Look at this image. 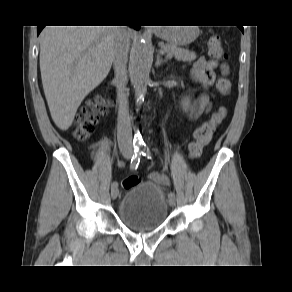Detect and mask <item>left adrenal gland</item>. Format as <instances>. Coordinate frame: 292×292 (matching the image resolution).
Wrapping results in <instances>:
<instances>
[{
    "instance_id": "1",
    "label": "left adrenal gland",
    "mask_w": 292,
    "mask_h": 292,
    "mask_svg": "<svg viewBox=\"0 0 292 292\" xmlns=\"http://www.w3.org/2000/svg\"><path fill=\"white\" fill-rule=\"evenodd\" d=\"M167 62V59H162L160 53L157 54L155 66L159 67L162 63Z\"/></svg>"
}]
</instances>
